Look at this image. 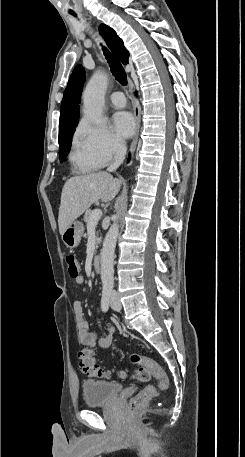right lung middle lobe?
<instances>
[{
    "instance_id": "dd1d6c3e",
    "label": "right lung middle lobe",
    "mask_w": 245,
    "mask_h": 457,
    "mask_svg": "<svg viewBox=\"0 0 245 457\" xmlns=\"http://www.w3.org/2000/svg\"><path fill=\"white\" fill-rule=\"evenodd\" d=\"M78 122L65 125L59 128V159L64 160V157L69 153L71 147V138L75 131Z\"/></svg>"
}]
</instances>
